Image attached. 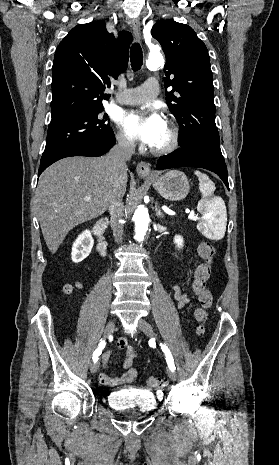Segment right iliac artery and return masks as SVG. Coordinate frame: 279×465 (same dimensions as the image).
<instances>
[{"mask_svg": "<svg viewBox=\"0 0 279 465\" xmlns=\"http://www.w3.org/2000/svg\"><path fill=\"white\" fill-rule=\"evenodd\" d=\"M105 345H106L105 340H101V342H100L99 345H98V348H97V349L94 351V353H93L92 359H93L94 362H97L98 357H99V355L101 354V351L103 350V348L105 347Z\"/></svg>", "mask_w": 279, "mask_h": 465, "instance_id": "82829eb1", "label": "right iliac artery"}]
</instances>
